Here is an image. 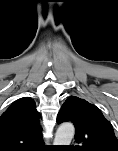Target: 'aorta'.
<instances>
[{
    "instance_id": "aorta-1",
    "label": "aorta",
    "mask_w": 118,
    "mask_h": 151,
    "mask_svg": "<svg viewBox=\"0 0 118 151\" xmlns=\"http://www.w3.org/2000/svg\"><path fill=\"white\" fill-rule=\"evenodd\" d=\"M75 134V128L72 123L61 124L55 135L54 145H70Z\"/></svg>"
}]
</instances>
